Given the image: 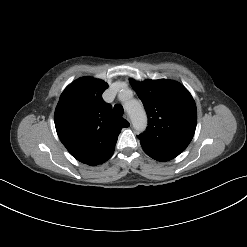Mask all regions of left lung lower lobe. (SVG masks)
Masks as SVG:
<instances>
[{
  "instance_id": "left-lung-lower-lobe-1",
  "label": "left lung lower lobe",
  "mask_w": 247,
  "mask_h": 247,
  "mask_svg": "<svg viewBox=\"0 0 247 247\" xmlns=\"http://www.w3.org/2000/svg\"><path fill=\"white\" fill-rule=\"evenodd\" d=\"M140 143H141V146H142L144 152L147 155H149L151 158H153L157 161H161V162L169 161V160H171V159H173L179 155V153L159 150V149L154 148L152 146H149V145H147L141 141H140Z\"/></svg>"
}]
</instances>
